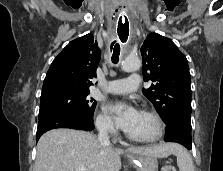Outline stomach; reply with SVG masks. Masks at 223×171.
<instances>
[{"label":"stomach","instance_id":"stomach-1","mask_svg":"<svg viewBox=\"0 0 223 171\" xmlns=\"http://www.w3.org/2000/svg\"><path fill=\"white\" fill-rule=\"evenodd\" d=\"M137 171H158L157 158L151 155H137L132 160Z\"/></svg>","mask_w":223,"mask_h":171}]
</instances>
